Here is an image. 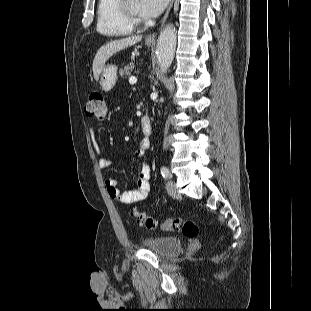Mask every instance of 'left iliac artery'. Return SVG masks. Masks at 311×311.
<instances>
[{"instance_id": "obj_1", "label": "left iliac artery", "mask_w": 311, "mask_h": 311, "mask_svg": "<svg viewBox=\"0 0 311 311\" xmlns=\"http://www.w3.org/2000/svg\"><path fill=\"white\" fill-rule=\"evenodd\" d=\"M161 174H162L163 178H165V179H168L170 177V172H169L168 168L165 166H163L161 168Z\"/></svg>"}]
</instances>
